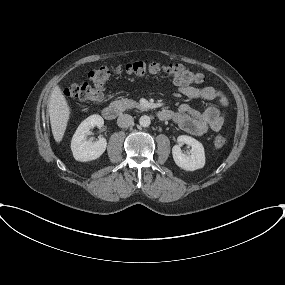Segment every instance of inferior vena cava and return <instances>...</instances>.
Segmentation results:
<instances>
[{"mask_svg":"<svg viewBox=\"0 0 285 285\" xmlns=\"http://www.w3.org/2000/svg\"><path fill=\"white\" fill-rule=\"evenodd\" d=\"M134 123V119L129 114H121L117 119V125L121 128H127L132 126Z\"/></svg>","mask_w":285,"mask_h":285,"instance_id":"obj_1","label":"inferior vena cava"}]
</instances>
